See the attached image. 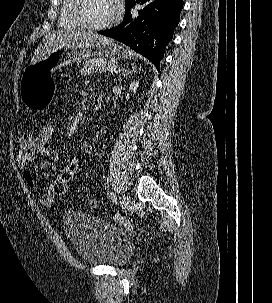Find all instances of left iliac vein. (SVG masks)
I'll use <instances>...</instances> for the list:
<instances>
[{
  "label": "left iliac vein",
  "mask_w": 272,
  "mask_h": 303,
  "mask_svg": "<svg viewBox=\"0 0 272 303\" xmlns=\"http://www.w3.org/2000/svg\"><path fill=\"white\" fill-rule=\"evenodd\" d=\"M121 204H122V208L123 209H128L131 205V199L129 196L127 195H123L122 196V200H121Z\"/></svg>",
  "instance_id": "1"
}]
</instances>
